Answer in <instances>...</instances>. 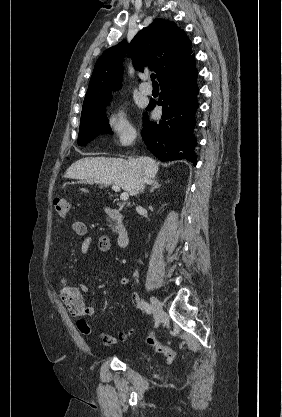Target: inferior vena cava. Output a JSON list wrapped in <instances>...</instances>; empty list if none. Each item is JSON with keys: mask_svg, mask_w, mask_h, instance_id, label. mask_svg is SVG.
Wrapping results in <instances>:
<instances>
[{"mask_svg": "<svg viewBox=\"0 0 282 417\" xmlns=\"http://www.w3.org/2000/svg\"><path fill=\"white\" fill-rule=\"evenodd\" d=\"M130 134H131V136H130L131 140H134V138L136 136L135 130H132V132H130ZM131 140H130V142H131ZM139 172H140V174H139L140 178L138 180L137 190H143L144 184H146V182H150V180H148V178H146V176H144L143 170H139Z\"/></svg>", "mask_w": 282, "mask_h": 417, "instance_id": "602c4592", "label": "inferior vena cava"}]
</instances>
